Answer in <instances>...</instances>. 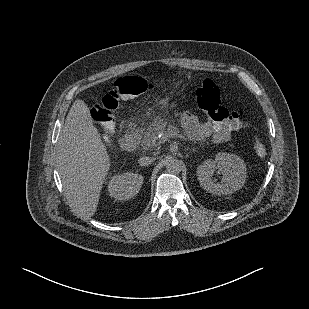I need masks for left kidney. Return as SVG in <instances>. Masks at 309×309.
I'll return each mask as SVG.
<instances>
[{"mask_svg": "<svg viewBox=\"0 0 309 309\" xmlns=\"http://www.w3.org/2000/svg\"><path fill=\"white\" fill-rule=\"evenodd\" d=\"M221 172L220 183L212 179L214 172ZM244 161L235 154L220 152L215 159H207L198 166L196 175L200 186L214 195L231 194L243 187L247 177Z\"/></svg>", "mask_w": 309, "mask_h": 309, "instance_id": "5707ae66", "label": "left kidney"}]
</instances>
